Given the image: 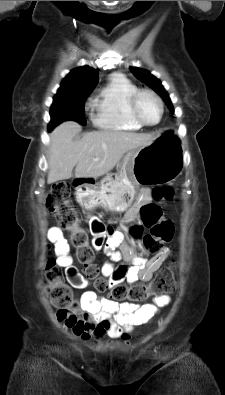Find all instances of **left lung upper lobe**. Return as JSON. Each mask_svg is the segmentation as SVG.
Masks as SVG:
<instances>
[{"label": "left lung upper lobe", "mask_w": 225, "mask_h": 395, "mask_svg": "<svg viewBox=\"0 0 225 395\" xmlns=\"http://www.w3.org/2000/svg\"><path fill=\"white\" fill-rule=\"evenodd\" d=\"M131 72L138 78L140 81L146 83L149 87H151L155 92H157L163 100L166 102L168 108L174 113V109L172 103L170 101L169 95L161 85V82L156 79L153 75H151L147 70H142L134 67H130Z\"/></svg>", "instance_id": "1"}]
</instances>
